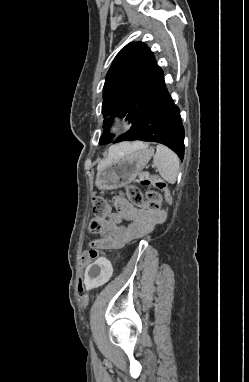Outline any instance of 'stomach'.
Returning a JSON list of instances; mask_svg holds the SVG:
<instances>
[{
    "label": "stomach",
    "instance_id": "1",
    "mask_svg": "<svg viewBox=\"0 0 249 382\" xmlns=\"http://www.w3.org/2000/svg\"><path fill=\"white\" fill-rule=\"evenodd\" d=\"M154 150L143 148L115 157L98 170L95 185L101 190L123 187L136 179L152 158Z\"/></svg>",
    "mask_w": 249,
    "mask_h": 382
}]
</instances>
